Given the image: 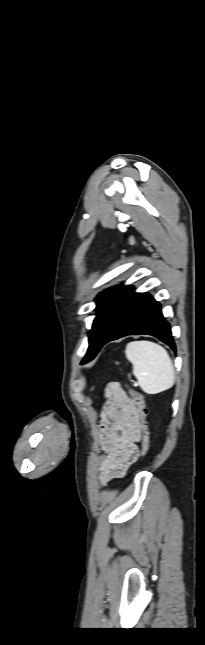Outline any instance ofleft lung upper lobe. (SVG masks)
<instances>
[{"label": "left lung upper lobe", "instance_id": "1", "mask_svg": "<svg viewBox=\"0 0 205 645\" xmlns=\"http://www.w3.org/2000/svg\"><path fill=\"white\" fill-rule=\"evenodd\" d=\"M121 289V285L109 288L100 293L95 299L97 303L98 313L97 317L94 320L92 329L89 332V347L81 364L89 362L99 352L101 344L107 332L113 304L115 303Z\"/></svg>", "mask_w": 205, "mask_h": 645}]
</instances>
